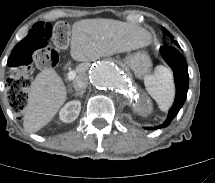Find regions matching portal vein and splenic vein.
I'll list each match as a JSON object with an SVG mask.
<instances>
[{"instance_id": "portal-vein-and-splenic-vein-1", "label": "portal vein and splenic vein", "mask_w": 215, "mask_h": 183, "mask_svg": "<svg viewBox=\"0 0 215 183\" xmlns=\"http://www.w3.org/2000/svg\"><path fill=\"white\" fill-rule=\"evenodd\" d=\"M67 76H68V79H69V80L75 79V78H76V71H74V70L70 71V72L67 74Z\"/></svg>"}]
</instances>
